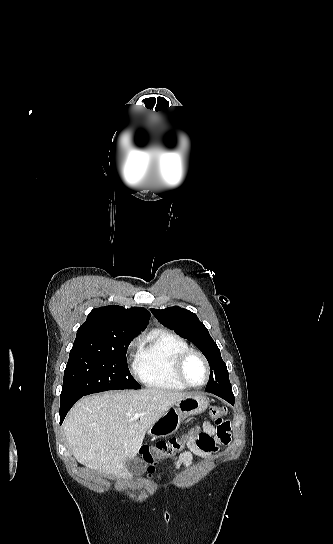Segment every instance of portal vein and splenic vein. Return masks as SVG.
<instances>
[{"label": "portal vein and splenic vein", "instance_id": "portal-vein-and-splenic-vein-1", "mask_svg": "<svg viewBox=\"0 0 333 544\" xmlns=\"http://www.w3.org/2000/svg\"><path fill=\"white\" fill-rule=\"evenodd\" d=\"M140 417L139 413H135L132 417V420H137Z\"/></svg>", "mask_w": 333, "mask_h": 544}]
</instances>
